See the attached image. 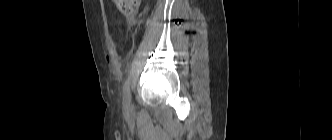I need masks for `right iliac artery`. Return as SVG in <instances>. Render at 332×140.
Here are the masks:
<instances>
[{
    "instance_id": "82829eb1",
    "label": "right iliac artery",
    "mask_w": 332,
    "mask_h": 140,
    "mask_svg": "<svg viewBox=\"0 0 332 140\" xmlns=\"http://www.w3.org/2000/svg\"><path fill=\"white\" fill-rule=\"evenodd\" d=\"M130 105V89H129V81H127L123 87V108L125 111L128 110Z\"/></svg>"
}]
</instances>
